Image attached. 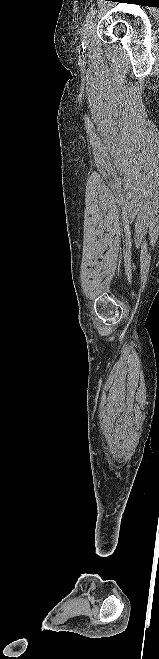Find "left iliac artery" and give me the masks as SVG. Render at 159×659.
Returning <instances> with one entry per match:
<instances>
[{"mask_svg":"<svg viewBox=\"0 0 159 659\" xmlns=\"http://www.w3.org/2000/svg\"><path fill=\"white\" fill-rule=\"evenodd\" d=\"M96 12H97L96 9H91L86 15V21L88 22L89 20H91L96 14Z\"/></svg>","mask_w":159,"mask_h":659,"instance_id":"1","label":"left iliac artery"}]
</instances>
